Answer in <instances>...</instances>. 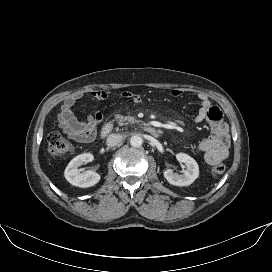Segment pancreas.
Segmentation results:
<instances>
[{"mask_svg":"<svg viewBox=\"0 0 272 272\" xmlns=\"http://www.w3.org/2000/svg\"><path fill=\"white\" fill-rule=\"evenodd\" d=\"M115 120L119 125L133 124L137 122L133 116H122L120 114L115 115Z\"/></svg>","mask_w":272,"mask_h":272,"instance_id":"obj_1","label":"pancreas"}]
</instances>
